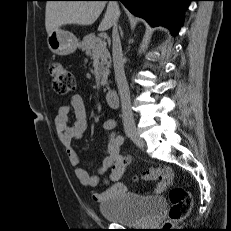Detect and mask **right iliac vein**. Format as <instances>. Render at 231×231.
<instances>
[{
  "label": "right iliac vein",
  "mask_w": 231,
  "mask_h": 231,
  "mask_svg": "<svg viewBox=\"0 0 231 231\" xmlns=\"http://www.w3.org/2000/svg\"><path fill=\"white\" fill-rule=\"evenodd\" d=\"M126 134L139 148H144L145 143L136 129L128 128L126 129Z\"/></svg>",
  "instance_id": "right-iliac-vein-1"
}]
</instances>
